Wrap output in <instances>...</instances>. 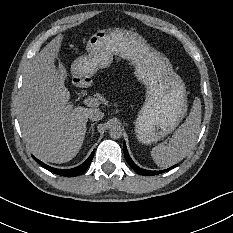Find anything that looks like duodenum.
I'll return each mask as SVG.
<instances>
[{"mask_svg":"<svg viewBox=\"0 0 233 233\" xmlns=\"http://www.w3.org/2000/svg\"><path fill=\"white\" fill-rule=\"evenodd\" d=\"M78 85L82 88L87 87L88 83L85 79H79L78 80Z\"/></svg>","mask_w":233,"mask_h":233,"instance_id":"410a0bca","label":"duodenum"}]
</instances>
